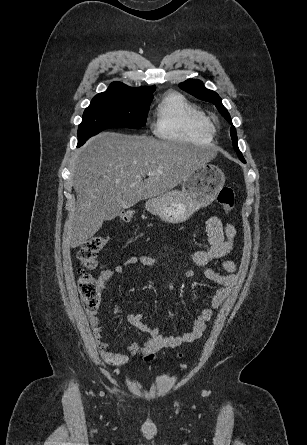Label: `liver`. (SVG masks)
<instances>
[{
    "label": "liver",
    "instance_id": "obj_1",
    "mask_svg": "<svg viewBox=\"0 0 307 445\" xmlns=\"http://www.w3.org/2000/svg\"><path fill=\"white\" fill-rule=\"evenodd\" d=\"M209 160L199 146L157 140L146 134L100 132L80 148L74 166L77 194L74 212L65 225L63 245L87 243L103 225L142 198L160 196L178 186L193 168ZM162 174H147L145 172Z\"/></svg>",
    "mask_w": 307,
    "mask_h": 445
}]
</instances>
